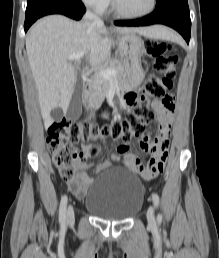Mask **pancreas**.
<instances>
[{
  "instance_id": "1",
  "label": "pancreas",
  "mask_w": 219,
  "mask_h": 258,
  "mask_svg": "<svg viewBox=\"0 0 219 258\" xmlns=\"http://www.w3.org/2000/svg\"><path fill=\"white\" fill-rule=\"evenodd\" d=\"M103 70L111 69L116 71V80L120 86L127 85L126 72L124 66L118 61H112L109 66L102 68ZM110 87L108 79L96 76L89 90L88 104L98 107L104 101Z\"/></svg>"
}]
</instances>
